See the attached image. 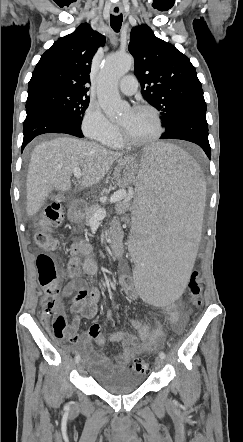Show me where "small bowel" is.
<instances>
[{
  "instance_id": "c3829d8e",
  "label": "small bowel",
  "mask_w": 243,
  "mask_h": 442,
  "mask_svg": "<svg viewBox=\"0 0 243 442\" xmlns=\"http://www.w3.org/2000/svg\"><path fill=\"white\" fill-rule=\"evenodd\" d=\"M71 258L67 263L66 275L69 282L65 287V295L76 291V296L71 300L72 318L67 324L69 340L82 349L87 362L95 368L114 367L124 370L133 357L155 351L164 339V329L157 323L147 324L133 319L130 325L137 329L138 335L118 328L109 338L101 333V326L93 322L87 333L78 336L77 330L82 319H94L97 316L100 292L96 287H89L81 277L82 273L93 276L98 271V262L93 255V249L89 242L84 240L74 241L70 246ZM120 285L131 299H136L133 283L126 273L119 277ZM169 327L174 332L180 331V313L178 308L170 304L166 307ZM56 313L63 314V304L60 297L57 298ZM107 343H121L122 351L114 357L101 356L91 344L96 347Z\"/></svg>"
}]
</instances>
